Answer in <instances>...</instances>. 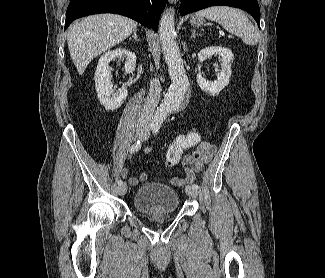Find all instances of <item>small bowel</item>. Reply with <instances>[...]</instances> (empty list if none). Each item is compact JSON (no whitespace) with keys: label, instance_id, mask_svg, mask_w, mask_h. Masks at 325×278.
Wrapping results in <instances>:
<instances>
[{"label":"small bowel","instance_id":"c3829d8e","mask_svg":"<svg viewBox=\"0 0 325 278\" xmlns=\"http://www.w3.org/2000/svg\"><path fill=\"white\" fill-rule=\"evenodd\" d=\"M193 134L196 133L190 132L187 134V136H191ZM194 146L195 151L184 158L186 176L184 178H171L170 182L172 184L184 185L185 183L193 182L195 180L194 171H199L203 166L208 164L213 159L217 150L215 144L204 140H198ZM150 151V147H145L143 149L144 153H149ZM121 176L123 178H128L129 184L131 186H136L139 182L146 181L148 178L146 173H142L138 178L129 177V170L127 168H123L121 170Z\"/></svg>","mask_w":325,"mask_h":278}]
</instances>
